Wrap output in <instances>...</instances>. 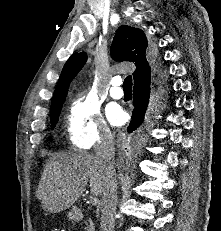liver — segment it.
I'll use <instances>...</instances> for the list:
<instances>
[{"instance_id":"obj_1","label":"liver","mask_w":221,"mask_h":231,"mask_svg":"<svg viewBox=\"0 0 221 231\" xmlns=\"http://www.w3.org/2000/svg\"><path fill=\"white\" fill-rule=\"evenodd\" d=\"M90 184L94 196L105 187V173L96 156L62 152L53 155L45 166L36 191L42 209L58 213L71 207Z\"/></svg>"}]
</instances>
